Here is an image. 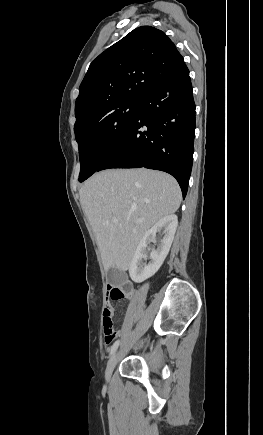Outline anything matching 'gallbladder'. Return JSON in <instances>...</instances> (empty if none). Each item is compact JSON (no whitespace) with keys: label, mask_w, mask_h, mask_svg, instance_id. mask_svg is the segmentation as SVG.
Returning a JSON list of instances; mask_svg holds the SVG:
<instances>
[{"label":"gallbladder","mask_w":263,"mask_h":435,"mask_svg":"<svg viewBox=\"0 0 263 435\" xmlns=\"http://www.w3.org/2000/svg\"><path fill=\"white\" fill-rule=\"evenodd\" d=\"M107 281L113 286H120L126 281V275L123 271L110 268L107 271Z\"/></svg>","instance_id":"obj_1"}]
</instances>
